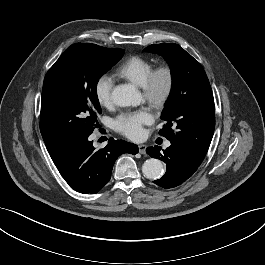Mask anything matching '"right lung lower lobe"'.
<instances>
[{
    "mask_svg": "<svg viewBox=\"0 0 265 265\" xmlns=\"http://www.w3.org/2000/svg\"><path fill=\"white\" fill-rule=\"evenodd\" d=\"M89 135L49 152L68 185L80 192L95 194L110 180L113 165L123 153L136 154L137 145L109 139L108 145L95 150Z\"/></svg>",
    "mask_w": 265,
    "mask_h": 265,
    "instance_id": "right-lung-lower-lobe-1",
    "label": "right lung lower lobe"
}]
</instances>
